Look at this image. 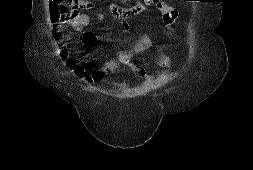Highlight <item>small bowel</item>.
<instances>
[{"label":"small bowel","instance_id":"1","mask_svg":"<svg viewBox=\"0 0 253 170\" xmlns=\"http://www.w3.org/2000/svg\"><path fill=\"white\" fill-rule=\"evenodd\" d=\"M150 8L161 12L165 25L172 26L174 24L176 10L162 0H158V2L153 4H149L143 0V2L128 8L112 4L110 6V13L115 20L119 21L121 28L127 31L130 28L128 19L140 16ZM104 18L105 14H79L76 17L65 19L54 24L53 33L59 43V55L66 67L76 77L88 84H95L102 81L105 77L113 73L120 63L128 65L141 78H152L153 74L132 60L133 54L146 51L153 47V40L148 35L135 41L129 52H120L117 60H109L101 65L88 59L80 60L69 49L64 48L65 42L77 40L84 45L88 52L93 51L97 47L98 37L92 26L101 22ZM157 63L161 68H169L172 64V59L170 56L159 55Z\"/></svg>","mask_w":253,"mask_h":170}]
</instances>
